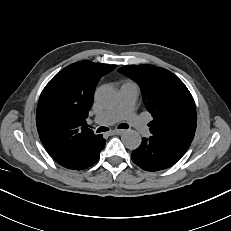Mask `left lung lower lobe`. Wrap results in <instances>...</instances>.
I'll use <instances>...</instances> for the list:
<instances>
[{"instance_id":"obj_1","label":"left lung lower lobe","mask_w":231,"mask_h":231,"mask_svg":"<svg viewBox=\"0 0 231 231\" xmlns=\"http://www.w3.org/2000/svg\"><path fill=\"white\" fill-rule=\"evenodd\" d=\"M173 140L152 135L143 138L141 145L132 151V161L147 171H158L174 165L187 151Z\"/></svg>"}]
</instances>
